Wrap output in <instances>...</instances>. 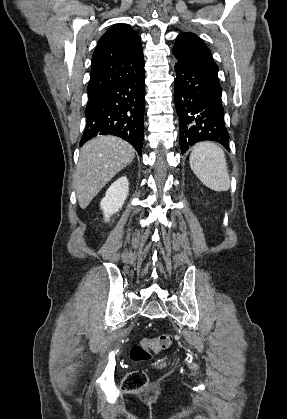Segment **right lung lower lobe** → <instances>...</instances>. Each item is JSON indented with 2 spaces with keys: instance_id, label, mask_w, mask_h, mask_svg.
Here are the masks:
<instances>
[{
  "instance_id": "right-lung-lower-lobe-1",
  "label": "right lung lower lobe",
  "mask_w": 287,
  "mask_h": 419,
  "mask_svg": "<svg viewBox=\"0 0 287 419\" xmlns=\"http://www.w3.org/2000/svg\"><path fill=\"white\" fill-rule=\"evenodd\" d=\"M144 68L136 75L118 81L89 95L86 127L80 141L99 135H114L129 142L141 155L145 104Z\"/></svg>"
}]
</instances>
